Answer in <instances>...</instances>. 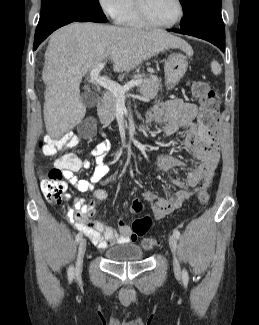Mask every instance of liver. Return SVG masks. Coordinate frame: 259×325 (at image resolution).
Instances as JSON below:
<instances>
[{"instance_id":"1","label":"liver","mask_w":259,"mask_h":325,"mask_svg":"<svg viewBox=\"0 0 259 325\" xmlns=\"http://www.w3.org/2000/svg\"><path fill=\"white\" fill-rule=\"evenodd\" d=\"M176 48L191 53L186 41L160 30L92 22H76L57 30L49 39L42 71L46 85L43 113L49 136L61 138L85 117L80 83L98 63L110 58L115 72L130 71L143 61Z\"/></svg>"}]
</instances>
